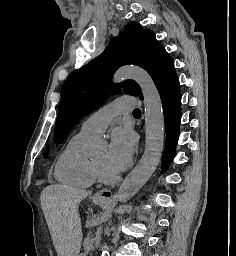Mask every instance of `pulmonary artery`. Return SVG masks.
Returning a JSON list of instances; mask_svg holds the SVG:
<instances>
[{
  "label": "pulmonary artery",
  "mask_w": 236,
  "mask_h": 256,
  "mask_svg": "<svg viewBox=\"0 0 236 256\" xmlns=\"http://www.w3.org/2000/svg\"><path fill=\"white\" fill-rule=\"evenodd\" d=\"M136 105L135 96H117V101L108 105L109 109L102 107L87 118L82 123L80 133L92 137L98 136L105 131L114 116L127 115L129 109H135Z\"/></svg>",
  "instance_id": "1"
}]
</instances>
